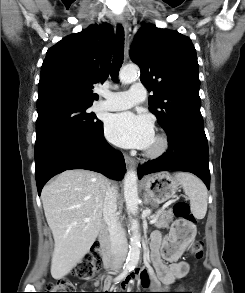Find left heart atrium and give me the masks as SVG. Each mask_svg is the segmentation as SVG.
Segmentation results:
<instances>
[{"mask_svg": "<svg viewBox=\"0 0 245 293\" xmlns=\"http://www.w3.org/2000/svg\"><path fill=\"white\" fill-rule=\"evenodd\" d=\"M105 135L118 146L146 149L154 140V126L147 116L123 112L106 119Z\"/></svg>", "mask_w": 245, "mask_h": 293, "instance_id": "1", "label": "left heart atrium"}]
</instances>
